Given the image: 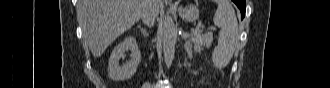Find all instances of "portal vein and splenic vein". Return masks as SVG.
<instances>
[{"instance_id":"1","label":"portal vein and splenic vein","mask_w":330,"mask_h":88,"mask_svg":"<svg viewBox=\"0 0 330 88\" xmlns=\"http://www.w3.org/2000/svg\"><path fill=\"white\" fill-rule=\"evenodd\" d=\"M208 30H210V28H208ZM201 31H202V30H199V29H198V30H195L194 33H196V32H199V33H200ZM183 37H184V38H187V37H189V35H188V34H184Z\"/></svg>"}]
</instances>
